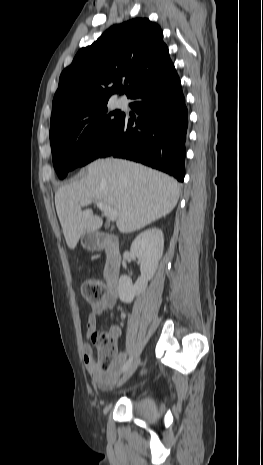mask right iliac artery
Segmentation results:
<instances>
[{"instance_id": "82829eb1", "label": "right iliac artery", "mask_w": 263, "mask_h": 465, "mask_svg": "<svg viewBox=\"0 0 263 465\" xmlns=\"http://www.w3.org/2000/svg\"><path fill=\"white\" fill-rule=\"evenodd\" d=\"M132 360H133V357H130V358L126 361V363H125V364L123 365V367H122V370H121L122 373H124V372L129 368V366H130L131 363H132Z\"/></svg>"}]
</instances>
